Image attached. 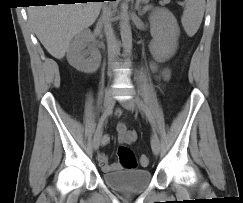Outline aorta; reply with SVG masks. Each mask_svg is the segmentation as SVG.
<instances>
[{
	"instance_id": "obj_1",
	"label": "aorta",
	"mask_w": 243,
	"mask_h": 203,
	"mask_svg": "<svg viewBox=\"0 0 243 203\" xmlns=\"http://www.w3.org/2000/svg\"><path fill=\"white\" fill-rule=\"evenodd\" d=\"M120 34L123 50L126 55H130L132 51V31L129 23L126 4L121 5Z\"/></svg>"
}]
</instances>
